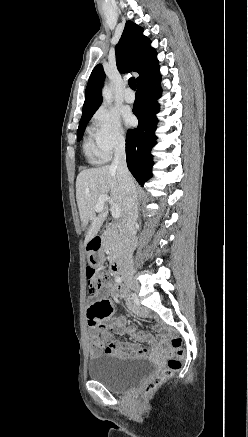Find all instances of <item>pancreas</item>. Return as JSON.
Wrapping results in <instances>:
<instances>
[{"label": "pancreas", "mask_w": 248, "mask_h": 437, "mask_svg": "<svg viewBox=\"0 0 248 437\" xmlns=\"http://www.w3.org/2000/svg\"><path fill=\"white\" fill-rule=\"evenodd\" d=\"M105 238V244L109 250L108 259L111 261L121 254L123 249V237L117 229L111 228L106 233Z\"/></svg>", "instance_id": "cf45deb5"}]
</instances>
